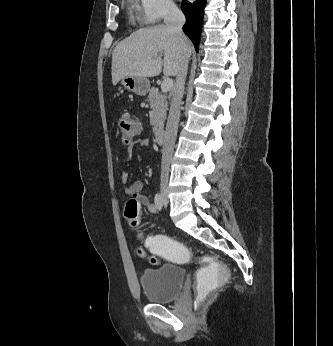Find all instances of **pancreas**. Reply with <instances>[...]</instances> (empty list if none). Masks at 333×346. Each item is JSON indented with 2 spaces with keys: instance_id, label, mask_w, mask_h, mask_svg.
I'll return each instance as SVG.
<instances>
[{
  "instance_id": "cf45deb5",
  "label": "pancreas",
  "mask_w": 333,
  "mask_h": 346,
  "mask_svg": "<svg viewBox=\"0 0 333 346\" xmlns=\"http://www.w3.org/2000/svg\"><path fill=\"white\" fill-rule=\"evenodd\" d=\"M148 101L151 106L150 124L153 132L158 133L164 127L166 114L168 110V102L165 95L158 92L157 88H152L149 91Z\"/></svg>"
}]
</instances>
